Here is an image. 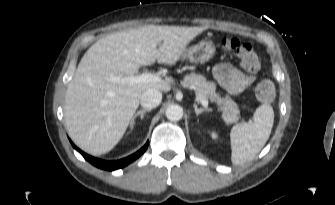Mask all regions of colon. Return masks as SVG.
Here are the masks:
<instances>
[{
	"mask_svg": "<svg viewBox=\"0 0 335 205\" xmlns=\"http://www.w3.org/2000/svg\"><path fill=\"white\" fill-rule=\"evenodd\" d=\"M222 47L226 51L236 53L242 67L249 72H256L260 68V55L258 49L251 43L241 42L231 38L223 41ZM257 100L270 102L275 97V87L269 80L258 83L254 89Z\"/></svg>",
	"mask_w": 335,
	"mask_h": 205,
	"instance_id": "5ec220e1",
	"label": "colon"
}]
</instances>
